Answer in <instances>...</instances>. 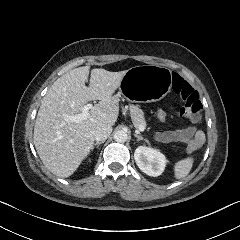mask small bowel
<instances>
[{
	"mask_svg": "<svg viewBox=\"0 0 240 240\" xmlns=\"http://www.w3.org/2000/svg\"><path fill=\"white\" fill-rule=\"evenodd\" d=\"M197 130L198 129L196 128V124H190L189 126L178 130L159 131L156 134V139L164 143L170 142L188 143Z\"/></svg>",
	"mask_w": 240,
	"mask_h": 240,
	"instance_id": "1",
	"label": "small bowel"
}]
</instances>
